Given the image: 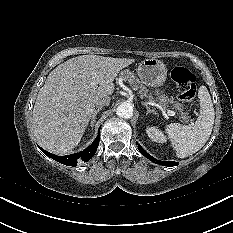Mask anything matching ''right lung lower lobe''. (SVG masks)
I'll return each instance as SVG.
<instances>
[{
  "label": "right lung lower lobe",
  "mask_w": 233,
  "mask_h": 233,
  "mask_svg": "<svg viewBox=\"0 0 233 233\" xmlns=\"http://www.w3.org/2000/svg\"><path fill=\"white\" fill-rule=\"evenodd\" d=\"M99 140L100 137L98 136L94 142L87 147L85 150H83L82 152L76 153V154H72V155H66V156H56L54 154H51L45 150H43L41 147H39L41 149V151L46 154L48 157L56 160L59 163L65 164L67 166H76L77 165V161L80 159L84 162H87L90 158H92L98 148V144H99Z\"/></svg>",
  "instance_id": "obj_1"
}]
</instances>
